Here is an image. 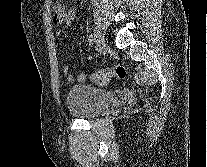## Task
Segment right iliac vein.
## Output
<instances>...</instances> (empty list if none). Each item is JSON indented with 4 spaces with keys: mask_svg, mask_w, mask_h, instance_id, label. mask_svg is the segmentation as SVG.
Wrapping results in <instances>:
<instances>
[{
    "mask_svg": "<svg viewBox=\"0 0 207 167\" xmlns=\"http://www.w3.org/2000/svg\"><path fill=\"white\" fill-rule=\"evenodd\" d=\"M95 46L98 51H102L105 47L104 33L99 25L95 27Z\"/></svg>",
    "mask_w": 207,
    "mask_h": 167,
    "instance_id": "obj_1",
    "label": "right iliac vein"
}]
</instances>
